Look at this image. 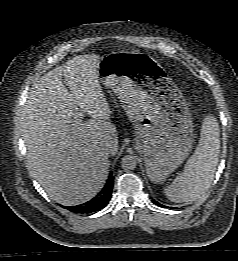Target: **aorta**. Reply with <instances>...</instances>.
<instances>
[{
    "mask_svg": "<svg viewBox=\"0 0 238 261\" xmlns=\"http://www.w3.org/2000/svg\"><path fill=\"white\" fill-rule=\"evenodd\" d=\"M121 166L124 170H133L137 166V159L133 155H126L121 160Z\"/></svg>",
    "mask_w": 238,
    "mask_h": 261,
    "instance_id": "aorta-1",
    "label": "aorta"
}]
</instances>
